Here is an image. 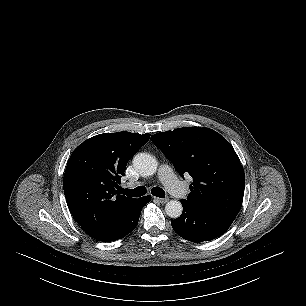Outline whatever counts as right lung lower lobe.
Wrapping results in <instances>:
<instances>
[{"label": "right lung lower lobe", "instance_id": "98d812e1", "mask_svg": "<svg viewBox=\"0 0 306 306\" xmlns=\"http://www.w3.org/2000/svg\"><path fill=\"white\" fill-rule=\"evenodd\" d=\"M150 200L151 196L136 199L116 227L97 240L110 242L128 235L137 226L141 210Z\"/></svg>", "mask_w": 306, "mask_h": 306}]
</instances>
